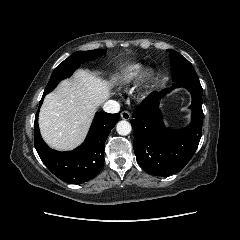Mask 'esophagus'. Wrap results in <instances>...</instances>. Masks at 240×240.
Instances as JSON below:
<instances>
[{
  "label": "esophagus",
  "mask_w": 240,
  "mask_h": 240,
  "mask_svg": "<svg viewBox=\"0 0 240 240\" xmlns=\"http://www.w3.org/2000/svg\"><path fill=\"white\" fill-rule=\"evenodd\" d=\"M121 118H122L123 120H129V119L131 118V114H130L128 111H123V112L121 113Z\"/></svg>",
  "instance_id": "1"
}]
</instances>
